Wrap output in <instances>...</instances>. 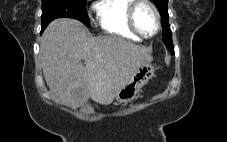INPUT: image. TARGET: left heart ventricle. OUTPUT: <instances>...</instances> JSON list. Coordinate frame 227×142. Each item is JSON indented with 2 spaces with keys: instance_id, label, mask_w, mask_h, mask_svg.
Listing matches in <instances>:
<instances>
[{
  "instance_id": "1",
  "label": "left heart ventricle",
  "mask_w": 227,
  "mask_h": 142,
  "mask_svg": "<svg viewBox=\"0 0 227 142\" xmlns=\"http://www.w3.org/2000/svg\"><path fill=\"white\" fill-rule=\"evenodd\" d=\"M136 23L142 33L152 34L156 29V18L152 9L142 5L136 13Z\"/></svg>"
}]
</instances>
